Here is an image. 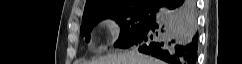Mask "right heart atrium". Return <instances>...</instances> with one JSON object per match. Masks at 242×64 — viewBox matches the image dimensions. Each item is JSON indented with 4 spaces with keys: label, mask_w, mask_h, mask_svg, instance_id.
<instances>
[{
    "label": "right heart atrium",
    "mask_w": 242,
    "mask_h": 64,
    "mask_svg": "<svg viewBox=\"0 0 242 64\" xmlns=\"http://www.w3.org/2000/svg\"><path fill=\"white\" fill-rule=\"evenodd\" d=\"M103 26L109 41H116L121 34V24L117 18L113 16H107L103 20Z\"/></svg>",
    "instance_id": "obj_1"
}]
</instances>
